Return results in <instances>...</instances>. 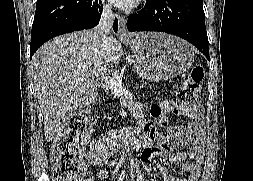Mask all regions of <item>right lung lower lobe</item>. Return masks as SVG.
Wrapping results in <instances>:
<instances>
[{
  "label": "right lung lower lobe",
  "instance_id": "obj_1",
  "mask_svg": "<svg viewBox=\"0 0 253 181\" xmlns=\"http://www.w3.org/2000/svg\"><path fill=\"white\" fill-rule=\"evenodd\" d=\"M102 6L98 0H37L32 25L30 59L49 39L95 27L100 20ZM113 29L116 32L118 22Z\"/></svg>",
  "mask_w": 253,
  "mask_h": 181
}]
</instances>
